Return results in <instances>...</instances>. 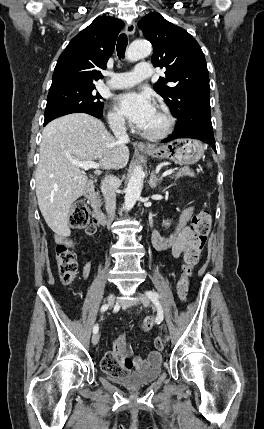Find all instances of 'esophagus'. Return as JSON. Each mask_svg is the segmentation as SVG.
<instances>
[{
    "mask_svg": "<svg viewBox=\"0 0 264 429\" xmlns=\"http://www.w3.org/2000/svg\"><path fill=\"white\" fill-rule=\"evenodd\" d=\"M125 29H126L127 35H129V36L133 35L134 32H135V24H134V22L127 23ZM134 146L136 148H139V149H151L152 148L150 145L145 144L143 142H135Z\"/></svg>",
    "mask_w": 264,
    "mask_h": 429,
    "instance_id": "obj_1",
    "label": "esophagus"
}]
</instances>
